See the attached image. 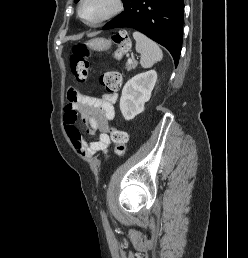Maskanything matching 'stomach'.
<instances>
[{
  "label": "stomach",
  "mask_w": 248,
  "mask_h": 258,
  "mask_svg": "<svg viewBox=\"0 0 248 258\" xmlns=\"http://www.w3.org/2000/svg\"><path fill=\"white\" fill-rule=\"evenodd\" d=\"M94 51H106L111 46V41L105 38H94L86 43Z\"/></svg>",
  "instance_id": "1"
}]
</instances>
